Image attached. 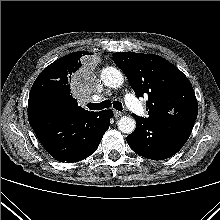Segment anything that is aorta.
<instances>
[{
    "instance_id": "762f6f07",
    "label": "aorta",
    "mask_w": 220,
    "mask_h": 220,
    "mask_svg": "<svg viewBox=\"0 0 220 220\" xmlns=\"http://www.w3.org/2000/svg\"><path fill=\"white\" fill-rule=\"evenodd\" d=\"M101 80L104 85L110 88H119L124 82L123 74L115 67H106L101 72ZM118 129L125 134H131L136 127V122L133 118L123 116L117 123Z\"/></svg>"
}]
</instances>
